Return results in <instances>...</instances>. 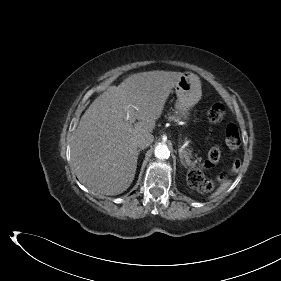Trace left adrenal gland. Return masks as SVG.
Returning <instances> with one entry per match:
<instances>
[{"label":"left adrenal gland","mask_w":281,"mask_h":281,"mask_svg":"<svg viewBox=\"0 0 281 281\" xmlns=\"http://www.w3.org/2000/svg\"><path fill=\"white\" fill-rule=\"evenodd\" d=\"M181 163L184 165L183 161L181 160Z\"/></svg>","instance_id":"obj_1"}]
</instances>
